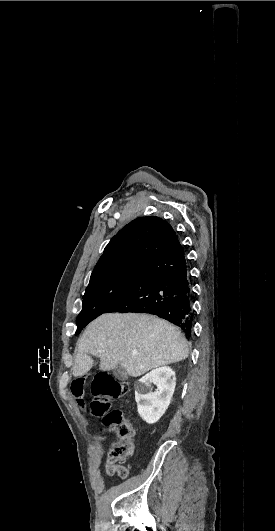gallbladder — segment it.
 <instances>
[{
  "label": "gallbladder",
  "instance_id": "1",
  "mask_svg": "<svg viewBox=\"0 0 275 531\" xmlns=\"http://www.w3.org/2000/svg\"><path fill=\"white\" fill-rule=\"evenodd\" d=\"M113 375L115 379H119V381H127L128 379V373L126 369L121 367L120 363L117 365V369H113Z\"/></svg>",
  "mask_w": 275,
  "mask_h": 531
}]
</instances>
